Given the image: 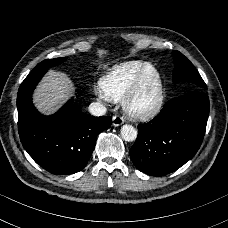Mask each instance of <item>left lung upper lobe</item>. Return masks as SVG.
Returning a JSON list of instances; mask_svg holds the SVG:
<instances>
[{"instance_id": "1", "label": "left lung upper lobe", "mask_w": 228, "mask_h": 228, "mask_svg": "<svg viewBox=\"0 0 228 228\" xmlns=\"http://www.w3.org/2000/svg\"><path fill=\"white\" fill-rule=\"evenodd\" d=\"M173 83L183 84L190 91H205L207 86L193 64L179 51L173 52Z\"/></svg>"}]
</instances>
